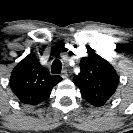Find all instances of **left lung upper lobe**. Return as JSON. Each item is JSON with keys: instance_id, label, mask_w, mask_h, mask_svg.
<instances>
[{"instance_id": "obj_1", "label": "left lung upper lobe", "mask_w": 133, "mask_h": 133, "mask_svg": "<svg viewBox=\"0 0 133 133\" xmlns=\"http://www.w3.org/2000/svg\"><path fill=\"white\" fill-rule=\"evenodd\" d=\"M80 61L81 72L73 78L82 96L92 105L103 106L114 94L119 77L113 66L88 48Z\"/></svg>"}]
</instances>
